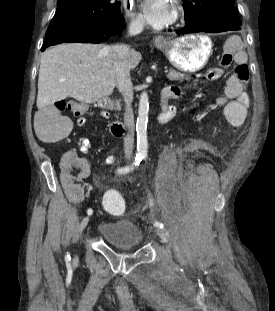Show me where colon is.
<instances>
[{
    "instance_id": "5ec220e1",
    "label": "colon",
    "mask_w": 275,
    "mask_h": 311,
    "mask_svg": "<svg viewBox=\"0 0 275 311\" xmlns=\"http://www.w3.org/2000/svg\"><path fill=\"white\" fill-rule=\"evenodd\" d=\"M235 73L243 81H247L249 78V69L246 64H238ZM66 107L74 111L78 109L79 105L77 103L66 105L60 101L38 113L36 117V133L42 140L59 141L69 135L72 129L71 122L61 114V111ZM103 196L104 207L108 212L118 214L124 210L120 190H104Z\"/></svg>"
}]
</instances>
